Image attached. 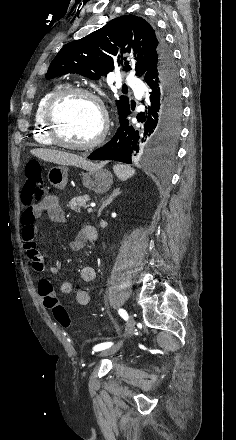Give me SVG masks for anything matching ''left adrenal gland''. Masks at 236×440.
Listing matches in <instances>:
<instances>
[{"instance_id": "a2214340", "label": "left adrenal gland", "mask_w": 236, "mask_h": 440, "mask_svg": "<svg viewBox=\"0 0 236 440\" xmlns=\"http://www.w3.org/2000/svg\"><path fill=\"white\" fill-rule=\"evenodd\" d=\"M121 193L120 188H116L113 190V192L111 193V195L107 198V199H102V206L100 207L99 211H98V217L101 215V212L103 211V209L105 207H107L116 196H118Z\"/></svg>"}]
</instances>
